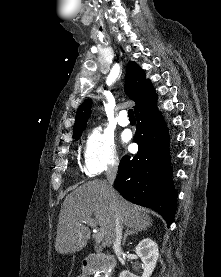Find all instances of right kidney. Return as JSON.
<instances>
[{
  "label": "right kidney",
  "mask_w": 221,
  "mask_h": 277,
  "mask_svg": "<svg viewBox=\"0 0 221 277\" xmlns=\"http://www.w3.org/2000/svg\"><path fill=\"white\" fill-rule=\"evenodd\" d=\"M137 256L143 262V274L141 277H150L156 267L159 257L158 245L150 238H145L135 248ZM119 277H137L129 270H124Z\"/></svg>",
  "instance_id": "ca27d5eb"
}]
</instances>
